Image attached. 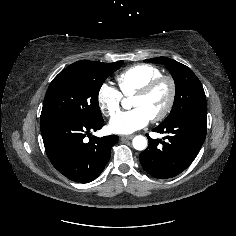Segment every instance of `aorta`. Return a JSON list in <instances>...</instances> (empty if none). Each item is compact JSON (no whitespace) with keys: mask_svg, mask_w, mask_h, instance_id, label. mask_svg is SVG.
I'll return each mask as SVG.
<instances>
[{"mask_svg":"<svg viewBox=\"0 0 236 236\" xmlns=\"http://www.w3.org/2000/svg\"><path fill=\"white\" fill-rule=\"evenodd\" d=\"M132 144L136 150H145L147 147V139L142 135H138L134 137Z\"/></svg>","mask_w":236,"mask_h":236,"instance_id":"762f6f07","label":"aorta"}]
</instances>
